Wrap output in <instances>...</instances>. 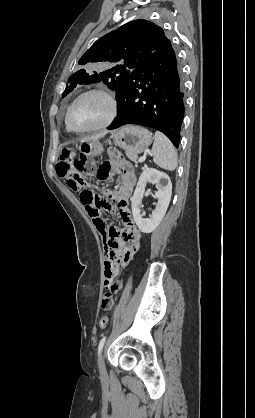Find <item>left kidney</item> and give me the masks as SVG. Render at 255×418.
Wrapping results in <instances>:
<instances>
[{
  "mask_svg": "<svg viewBox=\"0 0 255 418\" xmlns=\"http://www.w3.org/2000/svg\"><path fill=\"white\" fill-rule=\"evenodd\" d=\"M148 182L156 185L157 192L155 193V196L158 199V203L150 217L145 219L141 215L140 206ZM171 194L172 183L166 173L154 168H145L143 170L131 198L132 214L141 232L151 233L157 228L167 211L171 200Z\"/></svg>",
  "mask_w": 255,
  "mask_h": 418,
  "instance_id": "5707ae66",
  "label": "left kidney"
}]
</instances>
